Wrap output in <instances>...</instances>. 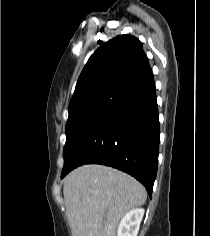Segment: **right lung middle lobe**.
Returning a JSON list of instances; mask_svg holds the SVG:
<instances>
[{
    "label": "right lung middle lobe",
    "instance_id": "1",
    "mask_svg": "<svg viewBox=\"0 0 210 236\" xmlns=\"http://www.w3.org/2000/svg\"><path fill=\"white\" fill-rule=\"evenodd\" d=\"M126 93L127 91L123 89L107 91L69 108L65 128L66 143L63 150L64 166L68 164L89 131Z\"/></svg>",
    "mask_w": 210,
    "mask_h": 236
}]
</instances>
